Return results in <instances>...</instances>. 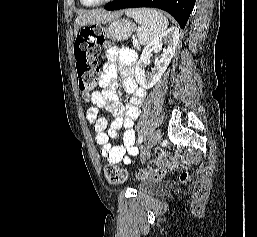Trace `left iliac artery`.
Instances as JSON below:
<instances>
[{
	"label": "left iliac artery",
	"instance_id": "1",
	"mask_svg": "<svg viewBox=\"0 0 257 237\" xmlns=\"http://www.w3.org/2000/svg\"><path fill=\"white\" fill-rule=\"evenodd\" d=\"M143 139H144V136H143V135L139 136V138H138V140H137V143H138V144H141V143L143 142Z\"/></svg>",
	"mask_w": 257,
	"mask_h": 237
}]
</instances>
